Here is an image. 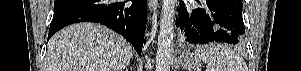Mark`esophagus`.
<instances>
[{
	"mask_svg": "<svg viewBox=\"0 0 301 71\" xmlns=\"http://www.w3.org/2000/svg\"><path fill=\"white\" fill-rule=\"evenodd\" d=\"M159 0H148L149 9L152 10L156 5H158Z\"/></svg>",
	"mask_w": 301,
	"mask_h": 71,
	"instance_id": "esophagus-1",
	"label": "esophagus"
}]
</instances>
